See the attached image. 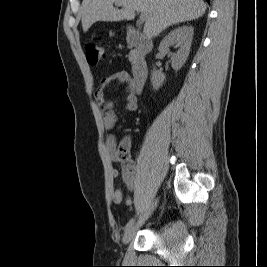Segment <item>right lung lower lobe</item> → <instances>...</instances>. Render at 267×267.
I'll return each instance as SVG.
<instances>
[{
    "mask_svg": "<svg viewBox=\"0 0 267 267\" xmlns=\"http://www.w3.org/2000/svg\"><path fill=\"white\" fill-rule=\"evenodd\" d=\"M208 3H210V0H206Z\"/></svg>",
    "mask_w": 267,
    "mask_h": 267,
    "instance_id": "obj_1",
    "label": "right lung lower lobe"
}]
</instances>
